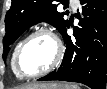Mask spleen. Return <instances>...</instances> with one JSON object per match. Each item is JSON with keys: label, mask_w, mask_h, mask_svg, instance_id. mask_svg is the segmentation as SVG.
I'll return each instance as SVG.
<instances>
[{"label": "spleen", "mask_w": 107, "mask_h": 89, "mask_svg": "<svg viewBox=\"0 0 107 89\" xmlns=\"http://www.w3.org/2000/svg\"><path fill=\"white\" fill-rule=\"evenodd\" d=\"M65 89H80V87L76 84H66Z\"/></svg>", "instance_id": "1"}]
</instances>
